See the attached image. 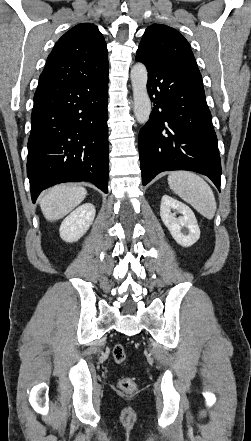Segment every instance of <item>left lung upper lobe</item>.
I'll return each mask as SVG.
<instances>
[{
	"label": "left lung upper lobe",
	"instance_id": "5c2ea615",
	"mask_svg": "<svg viewBox=\"0 0 251 441\" xmlns=\"http://www.w3.org/2000/svg\"><path fill=\"white\" fill-rule=\"evenodd\" d=\"M136 56L152 64L172 66L201 75L188 41L177 30L167 25L149 26L142 37Z\"/></svg>",
	"mask_w": 251,
	"mask_h": 441
}]
</instances>
